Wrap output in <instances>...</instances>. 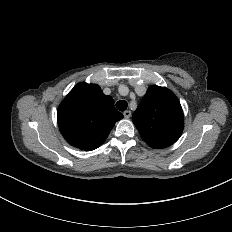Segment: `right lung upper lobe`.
Returning a JSON list of instances; mask_svg holds the SVG:
<instances>
[{
    "label": "right lung upper lobe",
    "mask_w": 232,
    "mask_h": 232,
    "mask_svg": "<svg viewBox=\"0 0 232 232\" xmlns=\"http://www.w3.org/2000/svg\"><path fill=\"white\" fill-rule=\"evenodd\" d=\"M123 114L111 96L96 84L78 83L57 110L58 126L65 140L81 150L98 148Z\"/></svg>",
    "instance_id": "obj_1"
}]
</instances>
